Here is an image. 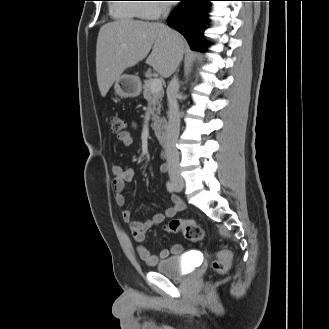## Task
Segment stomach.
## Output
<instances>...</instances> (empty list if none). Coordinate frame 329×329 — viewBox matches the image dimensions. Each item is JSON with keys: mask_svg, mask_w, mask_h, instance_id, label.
Listing matches in <instances>:
<instances>
[{"mask_svg": "<svg viewBox=\"0 0 329 329\" xmlns=\"http://www.w3.org/2000/svg\"><path fill=\"white\" fill-rule=\"evenodd\" d=\"M141 90V81L135 75H122L114 84L115 94L121 98L137 97Z\"/></svg>", "mask_w": 329, "mask_h": 329, "instance_id": "0dacf381", "label": "stomach"}]
</instances>
